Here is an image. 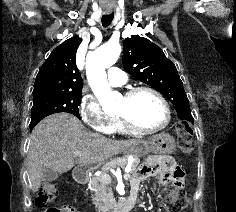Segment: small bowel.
Here are the masks:
<instances>
[{"mask_svg": "<svg viewBox=\"0 0 236 212\" xmlns=\"http://www.w3.org/2000/svg\"><path fill=\"white\" fill-rule=\"evenodd\" d=\"M152 171L158 174L162 179L174 178L182 183V177L175 168L174 161L168 156H153L150 157L144 164V169L140 172L137 179L132 183L131 189H139V182L142 178ZM71 212H75L73 209Z\"/></svg>", "mask_w": 236, "mask_h": 212, "instance_id": "small-bowel-1", "label": "small bowel"}]
</instances>
